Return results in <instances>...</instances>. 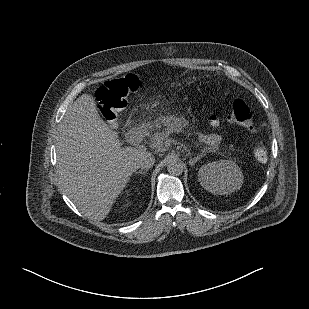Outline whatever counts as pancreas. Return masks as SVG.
<instances>
[{"label": "pancreas", "mask_w": 309, "mask_h": 309, "mask_svg": "<svg viewBox=\"0 0 309 309\" xmlns=\"http://www.w3.org/2000/svg\"><path fill=\"white\" fill-rule=\"evenodd\" d=\"M171 133L170 129H164L161 132H151L149 134V138L151 140V142L156 141V140H160V141H166L169 139V135Z\"/></svg>", "instance_id": "obj_1"}]
</instances>
